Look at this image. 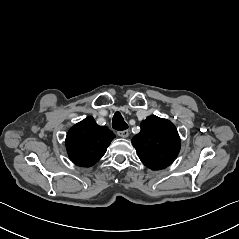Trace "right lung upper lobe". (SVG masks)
Masks as SVG:
<instances>
[{
  "label": "right lung upper lobe",
  "mask_w": 239,
  "mask_h": 239,
  "mask_svg": "<svg viewBox=\"0 0 239 239\" xmlns=\"http://www.w3.org/2000/svg\"><path fill=\"white\" fill-rule=\"evenodd\" d=\"M115 134L96 124L93 117L77 123L67 133L66 148L71 161L81 167L94 165L105 154Z\"/></svg>",
  "instance_id": "obj_1"
}]
</instances>
